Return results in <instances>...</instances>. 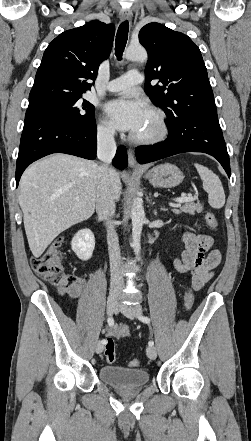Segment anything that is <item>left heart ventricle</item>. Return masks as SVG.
Returning a JSON list of instances; mask_svg holds the SVG:
<instances>
[{"instance_id":"left-heart-ventricle-1","label":"left heart ventricle","mask_w":251,"mask_h":441,"mask_svg":"<svg viewBox=\"0 0 251 441\" xmlns=\"http://www.w3.org/2000/svg\"><path fill=\"white\" fill-rule=\"evenodd\" d=\"M158 130V125L155 116L148 110L145 113L142 124L139 129L133 133L138 137H148L154 135Z\"/></svg>"}]
</instances>
